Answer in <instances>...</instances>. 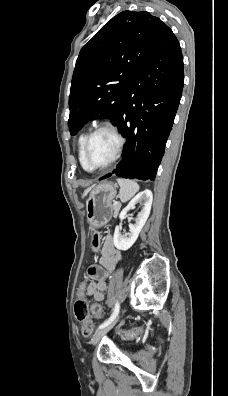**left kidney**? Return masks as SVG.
Returning <instances> with one entry per match:
<instances>
[{"instance_id": "5707ae66", "label": "left kidney", "mask_w": 228, "mask_h": 396, "mask_svg": "<svg viewBox=\"0 0 228 396\" xmlns=\"http://www.w3.org/2000/svg\"><path fill=\"white\" fill-rule=\"evenodd\" d=\"M153 195L150 190H144L137 194L129 204L120 212L119 218L123 220L127 212L135 207L137 203L142 205L141 212L135 218V223L129 225V233L122 235L120 229L116 226L113 236V242L117 249L126 251L137 240L139 233L145 225L151 210Z\"/></svg>"}]
</instances>
